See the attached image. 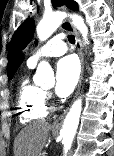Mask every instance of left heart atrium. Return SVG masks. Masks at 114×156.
I'll return each instance as SVG.
<instances>
[{
    "label": "left heart atrium",
    "instance_id": "left-heart-atrium-1",
    "mask_svg": "<svg viewBox=\"0 0 114 156\" xmlns=\"http://www.w3.org/2000/svg\"><path fill=\"white\" fill-rule=\"evenodd\" d=\"M80 75L78 60L68 55L57 63L55 92L59 97H67L74 90Z\"/></svg>",
    "mask_w": 114,
    "mask_h": 156
}]
</instances>
